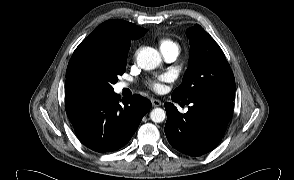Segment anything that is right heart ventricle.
Masks as SVG:
<instances>
[{
  "mask_svg": "<svg viewBox=\"0 0 294 180\" xmlns=\"http://www.w3.org/2000/svg\"><path fill=\"white\" fill-rule=\"evenodd\" d=\"M158 47L161 53L166 51L176 49L178 50V45L171 39L163 38L158 41Z\"/></svg>",
  "mask_w": 294,
  "mask_h": 180,
  "instance_id": "e07e8e85",
  "label": "right heart ventricle"
}]
</instances>
